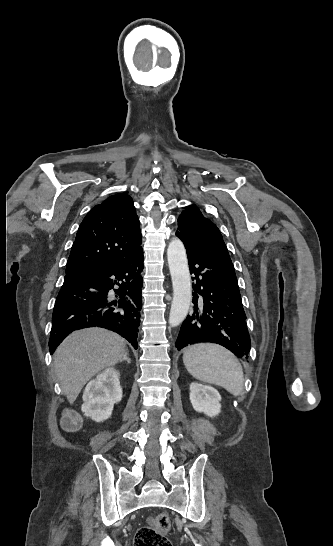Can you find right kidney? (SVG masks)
Returning <instances> with one entry per match:
<instances>
[{
	"label": "right kidney",
	"mask_w": 333,
	"mask_h": 546,
	"mask_svg": "<svg viewBox=\"0 0 333 546\" xmlns=\"http://www.w3.org/2000/svg\"><path fill=\"white\" fill-rule=\"evenodd\" d=\"M119 371L107 368L91 380L83 393L82 411L96 422L108 419L114 404L122 399Z\"/></svg>",
	"instance_id": "right-kidney-1"
}]
</instances>
